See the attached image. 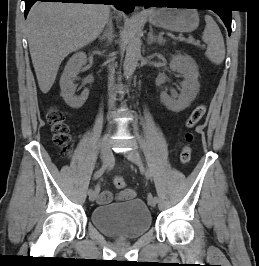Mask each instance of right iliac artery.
Listing matches in <instances>:
<instances>
[{"label":"right iliac artery","instance_id":"right-iliac-artery-1","mask_svg":"<svg viewBox=\"0 0 259 266\" xmlns=\"http://www.w3.org/2000/svg\"><path fill=\"white\" fill-rule=\"evenodd\" d=\"M107 166H108V162H105L103 164V166L98 171L95 172L94 179L100 178L103 175V173L105 172V170L107 169ZM87 191H88V194H90L92 192V189L87 188Z\"/></svg>","mask_w":259,"mask_h":266}]
</instances>
